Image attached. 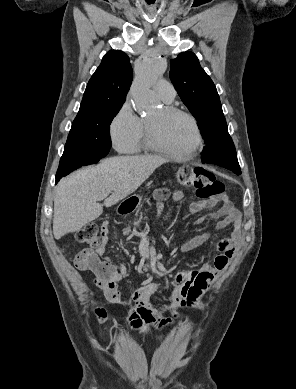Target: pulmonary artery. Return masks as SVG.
<instances>
[{
  "instance_id": "e3ab8cb5",
  "label": "pulmonary artery",
  "mask_w": 296,
  "mask_h": 389,
  "mask_svg": "<svg viewBox=\"0 0 296 389\" xmlns=\"http://www.w3.org/2000/svg\"><path fill=\"white\" fill-rule=\"evenodd\" d=\"M154 90L165 102H171L176 95L173 85L164 79H160L156 82Z\"/></svg>"
}]
</instances>
